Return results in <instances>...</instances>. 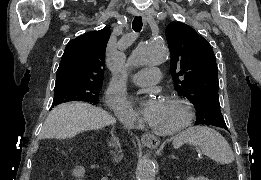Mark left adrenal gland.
Returning <instances> with one entry per match:
<instances>
[{"instance_id":"obj_1","label":"left adrenal gland","mask_w":261,"mask_h":180,"mask_svg":"<svg viewBox=\"0 0 261 180\" xmlns=\"http://www.w3.org/2000/svg\"><path fill=\"white\" fill-rule=\"evenodd\" d=\"M170 158H173V160H176L175 156H170Z\"/></svg>"}]
</instances>
